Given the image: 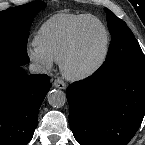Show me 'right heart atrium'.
I'll list each match as a JSON object with an SVG mask.
<instances>
[{"mask_svg": "<svg viewBox=\"0 0 145 145\" xmlns=\"http://www.w3.org/2000/svg\"><path fill=\"white\" fill-rule=\"evenodd\" d=\"M27 55L29 59L34 62L38 67L42 69H51L53 66V60L46 54L39 51L35 46L27 49Z\"/></svg>", "mask_w": 145, "mask_h": 145, "instance_id": "1", "label": "right heart atrium"}]
</instances>
